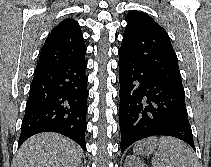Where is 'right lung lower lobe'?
I'll return each instance as SVG.
<instances>
[{"instance_id":"98d812e1","label":"right lung lower lobe","mask_w":211,"mask_h":167,"mask_svg":"<svg viewBox=\"0 0 211 167\" xmlns=\"http://www.w3.org/2000/svg\"><path fill=\"white\" fill-rule=\"evenodd\" d=\"M86 68L84 56L35 73L22 120L19 146L34 134L57 132L77 142L85 151Z\"/></svg>"}]
</instances>
